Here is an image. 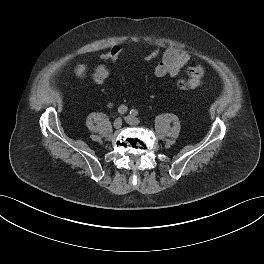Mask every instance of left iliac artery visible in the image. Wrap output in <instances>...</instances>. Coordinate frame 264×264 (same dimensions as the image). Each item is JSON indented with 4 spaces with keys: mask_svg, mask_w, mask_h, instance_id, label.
Returning a JSON list of instances; mask_svg holds the SVG:
<instances>
[{
    "mask_svg": "<svg viewBox=\"0 0 264 264\" xmlns=\"http://www.w3.org/2000/svg\"><path fill=\"white\" fill-rule=\"evenodd\" d=\"M138 114V111L136 110V109H132L131 111H130V115L131 116H136Z\"/></svg>",
    "mask_w": 264,
    "mask_h": 264,
    "instance_id": "44dca946",
    "label": "left iliac artery"
}]
</instances>
